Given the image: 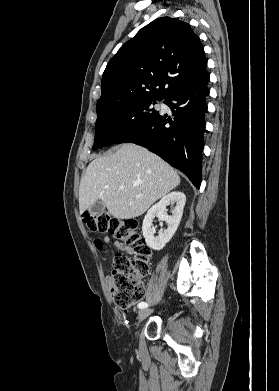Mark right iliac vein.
<instances>
[{"mask_svg":"<svg viewBox=\"0 0 279 391\" xmlns=\"http://www.w3.org/2000/svg\"><path fill=\"white\" fill-rule=\"evenodd\" d=\"M151 313H152V310H149V309H142V310H140L139 313H138V317H137L138 323L143 321Z\"/></svg>","mask_w":279,"mask_h":391,"instance_id":"63e3f726","label":"right iliac vein"}]
</instances>
